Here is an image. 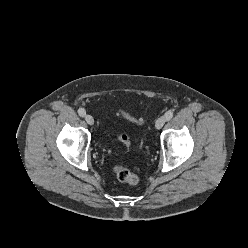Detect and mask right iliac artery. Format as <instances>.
I'll use <instances>...</instances> for the list:
<instances>
[{
  "mask_svg": "<svg viewBox=\"0 0 248 248\" xmlns=\"http://www.w3.org/2000/svg\"><path fill=\"white\" fill-rule=\"evenodd\" d=\"M78 114L81 116V117H84L86 115V111L84 108H79L78 109Z\"/></svg>",
  "mask_w": 248,
  "mask_h": 248,
  "instance_id": "obj_1",
  "label": "right iliac artery"
}]
</instances>
